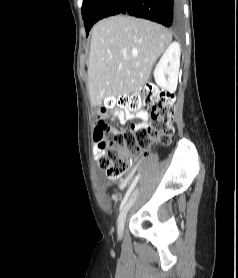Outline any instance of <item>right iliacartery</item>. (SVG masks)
I'll use <instances>...</instances> for the list:
<instances>
[{
	"label": "right iliac artery",
	"mask_w": 238,
	"mask_h": 278,
	"mask_svg": "<svg viewBox=\"0 0 238 278\" xmlns=\"http://www.w3.org/2000/svg\"><path fill=\"white\" fill-rule=\"evenodd\" d=\"M139 177H140V174H137L136 177L134 178L133 182L131 183L130 187L128 188V190H127V192H126V194H125V196H124V198H123V200H122V202H121L120 210H122L124 204H125L126 201L128 200V198H129L131 192L133 191V189H134L136 183H137L138 180H139Z\"/></svg>",
	"instance_id": "obj_1"
}]
</instances>
